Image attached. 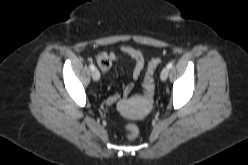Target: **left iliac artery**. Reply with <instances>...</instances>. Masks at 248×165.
<instances>
[{"instance_id": "obj_1", "label": "left iliac artery", "mask_w": 248, "mask_h": 165, "mask_svg": "<svg viewBox=\"0 0 248 165\" xmlns=\"http://www.w3.org/2000/svg\"><path fill=\"white\" fill-rule=\"evenodd\" d=\"M172 66H173V63H172V62H170V63L167 64V68H168V69H171Z\"/></svg>"}]
</instances>
